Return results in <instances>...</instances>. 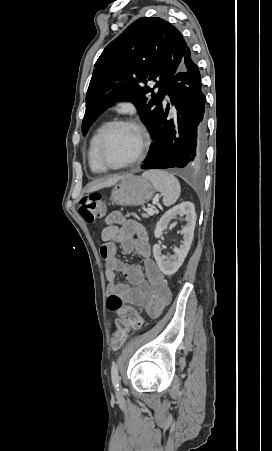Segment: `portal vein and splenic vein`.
Here are the masks:
<instances>
[{"label": "portal vein and splenic vein", "mask_w": 272, "mask_h": 451, "mask_svg": "<svg viewBox=\"0 0 272 451\" xmlns=\"http://www.w3.org/2000/svg\"><path fill=\"white\" fill-rule=\"evenodd\" d=\"M156 198H158V196H156ZM147 214H149V216H154L155 212L152 208H147Z\"/></svg>", "instance_id": "portal-vein-and-splenic-vein-1"}]
</instances>
